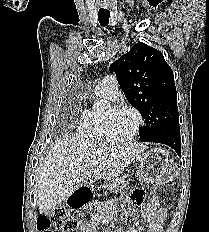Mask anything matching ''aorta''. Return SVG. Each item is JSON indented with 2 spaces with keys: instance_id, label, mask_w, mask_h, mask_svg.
Returning <instances> with one entry per match:
<instances>
[{
  "instance_id": "1",
  "label": "aorta",
  "mask_w": 209,
  "mask_h": 232,
  "mask_svg": "<svg viewBox=\"0 0 209 232\" xmlns=\"http://www.w3.org/2000/svg\"><path fill=\"white\" fill-rule=\"evenodd\" d=\"M96 106H97V107H101V106H105V104H104L103 102H98V103L96 104Z\"/></svg>"
}]
</instances>
